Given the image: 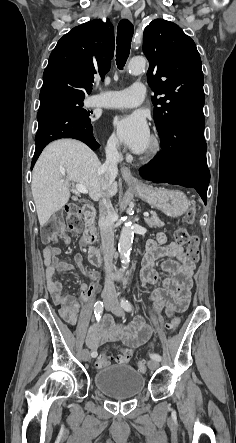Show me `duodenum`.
<instances>
[{
  "instance_id": "duodenum-1",
  "label": "duodenum",
  "mask_w": 236,
  "mask_h": 443,
  "mask_svg": "<svg viewBox=\"0 0 236 443\" xmlns=\"http://www.w3.org/2000/svg\"><path fill=\"white\" fill-rule=\"evenodd\" d=\"M83 215L86 221L83 240L86 244L90 245L88 249V260L92 265L100 266L101 260H100L99 250L91 246V244L94 242L96 238V232L93 226V221L96 217V209L91 205H86L83 208Z\"/></svg>"
}]
</instances>
